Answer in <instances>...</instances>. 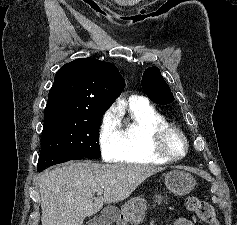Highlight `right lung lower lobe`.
Here are the masks:
<instances>
[{"instance_id":"right-lung-lower-lobe-1","label":"right lung lower lobe","mask_w":237,"mask_h":225,"mask_svg":"<svg viewBox=\"0 0 237 225\" xmlns=\"http://www.w3.org/2000/svg\"><path fill=\"white\" fill-rule=\"evenodd\" d=\"M85 157L72 154V153H61V152H40L37 171L41 172L47 167H50L55 164L67 162L70 160L83 159Z\"/></svg>"}]
</instances>
